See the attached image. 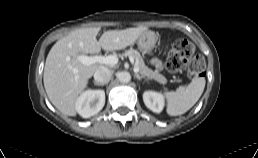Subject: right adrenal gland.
Here are the masks:
<instances>
[{"label":"right adrenal gland","mask_w":258,"mask_h":158,"mask_svg":"<svg viewBox=\"0 0 258 158\" xmlns=\"http://www.w3.org/2000/svg\"><path fill=\"white\" fill-rule=\"evenodd\" d=\"M95 85H98V86H104L105 84H103V83H97V82H95L94 83Z\"/></svg>","instance_id":"2a0ac1e0"}]
</instances>
